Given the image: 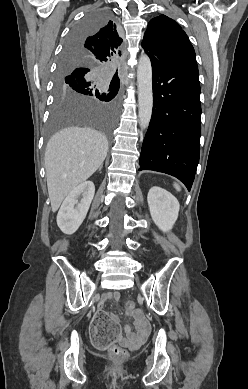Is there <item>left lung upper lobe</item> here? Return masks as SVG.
<instances>
[{
	"instance_id": "obj_1",
	"label": "left lung upper lobe",
	"mask_w": 248,
	"mask_h": 389,
	"mask_svg": "<svg viewBox=\"0 0 248 389\" xmlns=\"http://www.w3.org/2000/svg\"><path fill=\"white\" fill-rule=\"evenodd\" d=\"M142 47L162 61L194 58L195 51L186 33L173 19L160 15L150 20Z\"/></svg>"
}]
</instances>
